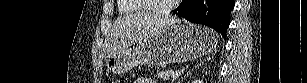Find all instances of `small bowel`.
Returning <instances> with one entry per match:
<instances>
[{
	"label": "small bowel",
	"instance_id": "obj_1",
	"mask_svg": "<svg viewBox=\"0 0 307 83\" xmlns=\"http://www.w3.org/2000/svg\"><path fill=\"white\" fill-rule=\"evenodd\" d=\"M139 83H155L152 79H141L138 81Z\"/></svg>",
	"mask_w": 307,
	"mask_h": 83
}]
</instances>
